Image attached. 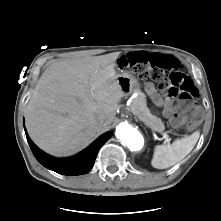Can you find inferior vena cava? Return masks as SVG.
Wrapping results in <instances>:
<instances>
[{"instance_id":"inferior-vena-cava-1","label":"inferior vena cava","mask_w":221,"mask_h":221,"mask_svg":"<svg viewBox=\"0 0 221 221\" xmlns=\"http://www.w3.org/2000/svg\"><path fill=\"white\" fill-rule=\"evenodd\" d=\"M97 121H98V123H99L100 125H103L104 122H105V117H104L103 115H99V116L97 117Z\"/></svg>"}]
</instances>
